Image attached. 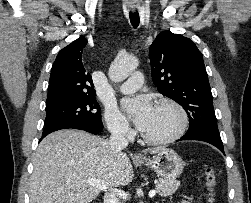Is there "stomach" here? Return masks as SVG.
<instances>
[{
  "mask_svg": "<svg viewBox=\"0 0 251 203\" xmlns=\"http://www.w3.org/2000/svg\"><path fill=\"white\" fill-rule=\"evenodd\" d=\"M139 163L150 167L164 179H175L182 173L185 163L172 149L163 148L152 158L140 160Z\"/></svg>",
  "mask_w": 251,
  "mask_h": 203,
  "instance_id": "stomach-1",
  "label": "stomach"
}]
</instances>
